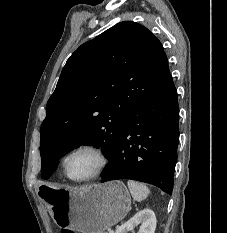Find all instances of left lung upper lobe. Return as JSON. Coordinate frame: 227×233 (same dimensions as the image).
Masks as SVG:
<instances>
[{
  "mask_svg": "<svg viewBox=\"0 0 227 233\" xmlns=\"http://www.w3.org/2000/svg\"><path fill=\"white\" fill-rule=\"evenodd\" d=\"M169 75L162 44L138 23H118L81 45L47 102L40 130L42 177L48 179L61 156L83 143L102 147L109 167L133 109Z\"/></svg>",
  "mask_w": 227,
  "mask_h": 233,
  "instance_id": "obj_1",
  "label": "left lung upper lobe"
}]
</instances>
